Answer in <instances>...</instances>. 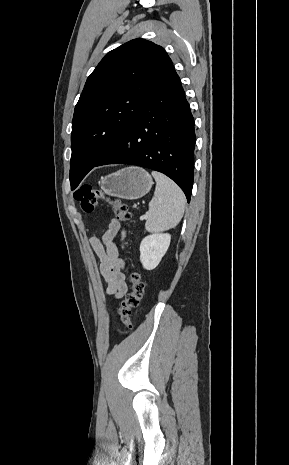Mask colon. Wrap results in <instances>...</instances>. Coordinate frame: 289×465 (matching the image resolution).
Masks as SVG:
<instances>
[{"instance_id": "obj_1", "label": "colon", "mask_w": 289, "mask_h": 465, "mask_svg": "<svg viewBox=\"0 0 289 465\" xmlns=\"http://www.w3.org/2000/svg\"><path fill=\"white\" fill-rule=\"evenodd\" d=\"M76 201L79 202L83 212L91 213L95 210L99 202H109L116 214V218L121 222H128L131 218V212L128 206L123 202L111 199L104 195L101 190L92 185H83L76 189L73 193ZM128 281L131 286V291L126 295L118 309L120 320L125 326L124 331H119L120 335H127L132 329L131 314L141 302L144 294V282L141 280L140 274L132 265L127 267Z\"/></svg>"}]
</instances>
